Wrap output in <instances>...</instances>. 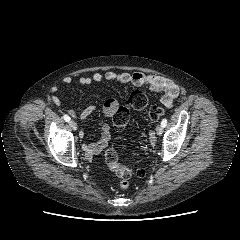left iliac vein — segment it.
Wrapping results in <instances>:
<instances>
[{
    "label": "left iliac vein",
    "mask_w": 240,
    "mask_h": 240,
    "mask_svg": "<svg viewBox=\"0 0 240 240\" xmlns=\"http://www.w3.org/2000/svg\"><path fill=\"white\" fill-rule=\"evenodd\" d=\"M156 132H157L158 135H162V133H163L162 125H157Z\"/></svg>",
    "instance_id": "1"
}]
</instances>
